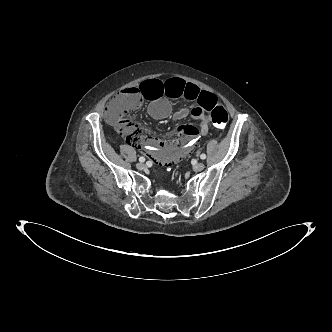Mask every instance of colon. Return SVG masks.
I'll list each match as a JSON object with an SVG mask.
<instances>
[{
	"instance_id": "colon-1",
	"label": "colon",
	"mask_w": 332,
	"mask_h": 332,
	"mask_svg": "<svg viewBox=\"0 0 332 332\" xmlns=\"http://www.w3.org/2000/svg\"><path fill=\"white\" fill-rule=\"evenodd\" d=\"M140 87L126 89L113 97L108 103L106 117L123 135H126L131 127L128 117L141 107L143 98L140 94ZM210 117L218 128H224L229 120L226 108L219 101H216L211 107Z\"/></svg>"
}]
</instances>
